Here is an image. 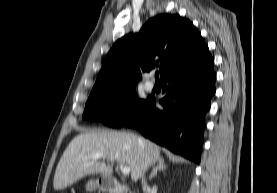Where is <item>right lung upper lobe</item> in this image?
Segmentation results:
<instances>
[{"label": "right lung upper lobe", "instance_id": "obj_1", "mask_svg": "<svg viewBox=\"0 0 277 193\" xmlns=\"http://www.w3.org/2000/svg\"><path fill=\"white\" fill-rule=\"evenodd\" d=\"M207 46L199 31L178 14L151 18L137 34L119 39L107 54L91 94L133 87L141 72L160 65L163 79Z\"/></svg>", "mask_w": 277, "mask_h": 193}]
</instances>
